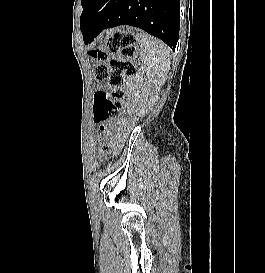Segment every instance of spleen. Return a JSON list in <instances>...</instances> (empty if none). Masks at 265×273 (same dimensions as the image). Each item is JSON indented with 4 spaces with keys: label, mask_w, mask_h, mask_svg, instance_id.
<instances>
[{
    "label": "spleen",
    "mask_w": 265,
    "mask_h": 273,
    "mask_svg": "<svg viewBox=\"0 0 265 273\" xmlns=\"http://www.w3.org/2000/svg\"><path fill=\"white\" fill-rule=\"evenodd\" d=\"M137 40L148 79L155 85H163L170 67L169 47L147 33L138 34Z\"/></svg>",
    "instance_id": "3e777b00"
}]
</instances>
